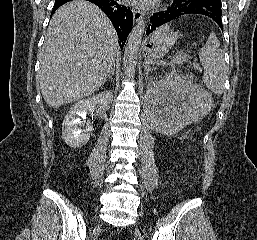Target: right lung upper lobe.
I'll return each instance as SVG.
<instances>
[{
	"label": "right lung upper lobe",
	"mask_w": 257,
	"mask_h": 240,
	"mask_svg": "<svg viewBox=\"0 0 257 240\" xmlns=\"http://www.w3.org/2000/svg\"><path fill=\"white\" fill-rule=\"evenodd\" d=\"M65 1H69V0H56L55 2H57V4H62V3H64Z\"/></svg>",
	"instance_id": "1"
}]
</instances>
